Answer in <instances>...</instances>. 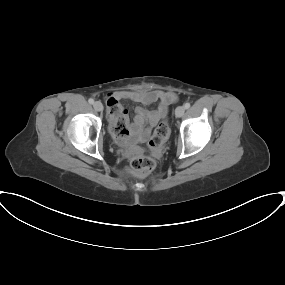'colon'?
<instances>
[{
	"instance_id": "colon-1",
	"label": "colon",
	"mask_w": 285,
	"mask_h": 285,
	"mask_svg": "<svg viewBox=\"0 0 285 285\" xmlns=\"http://www.w3.org/2000/svg\"><path fill=\"white\" fill-rule=\"evenodd\" d=\"M119 108L120 105L118 101L114 99H110L107 101V110L109 114H113L114 116L118 117V120L111 125L112 133L118 141H124L129 134V128L127 123L119 117ZM168 135V124L163 121L155 128L153 136L148 144L149 148L151 150L160 149L164 144L165 140L167 139ZM130 167L132 171L137 174L147 175L155 168V161L149 156L137 154L130 159Z\"/></svg>"
}]
</instances>
